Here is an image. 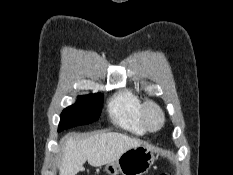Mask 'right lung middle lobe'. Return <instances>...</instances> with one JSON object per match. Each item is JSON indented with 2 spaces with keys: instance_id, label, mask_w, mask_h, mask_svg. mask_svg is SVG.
<instances>
[{
  "instance_id": "obj_1",
  "label": "right lung middle lobe",
  "mask_w": 233,
  "mask_h": 175,
  "mask_svg": "<svg viewBox=\"0 0 233 175\" xmlns=\"http://www.w3.org/2000/svg\"><path fill=\"white\" fill-rule=\"evenodd\" d=\"M102 103L103 95L100 93L79 97L74 105L65 108L61 113L58 131L97 121Z\"/></svg>"
}]
</instances>
